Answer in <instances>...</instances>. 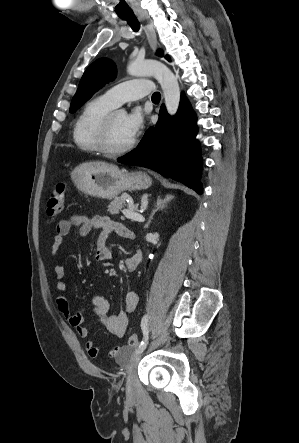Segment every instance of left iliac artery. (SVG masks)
<instances>
[{"label":"left iliac artery","mask_w":299,"mask_h":443,"mask_svg":"<svg viewBox=\"0 0 299 443\" xmlns=\"http://www.w3.org/2000/svg\"><path fill=\"white\" fill-rule=\"evenodd\" d=\"M148 319H149L148 315H145L142 318L141 328H142V332H143L144 337H143V340L140 343L139 347L135 351L136 354L142 352L146 348V346H147V343H148V333H149V331H148Z\"/></svg>","instance_id":"obj_1"}]
</instances>
